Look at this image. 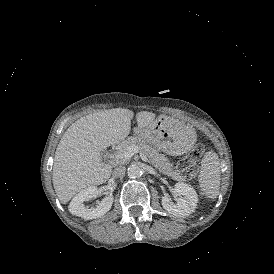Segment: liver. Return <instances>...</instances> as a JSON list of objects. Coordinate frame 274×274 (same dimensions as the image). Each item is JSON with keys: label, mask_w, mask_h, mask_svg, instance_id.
I'll return each instance as SVG.
<instances>
[{"label": "liver", "mask_w": 274, "mask_h": 274, "mask_svg": "<svg viewBox=\"0 0 274 274\" xmlns=\"http://www.w3.org/2000/svg\"><path fill=\"white\" fill-rule=\"evenodd\" d=\"M133 115V111L123 108L95 111L67 129L56 148L52 176L61 203L66 204L78 191L110 178L112 166L102 161L100 151L129 135ZM154 119L152 112L137 113L138 127L134 132L139 134Z\"/></svg>", "instance_id": "liver-1"}]
</instances>
